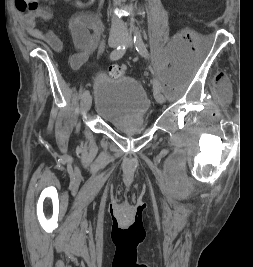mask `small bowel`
Listing matches in <instances>:
<instances>
[{
  "instance_id": "c3829d8e",
  "label": "small bowel",
  "mask_w": 253,
  "mask_h": 267,
  "mask_svg": "<svg viewBox=\"0 0 253 267\" xmlns=\"http://www.w3.org/2000/svg\"><path fill=\"white\" fill-rule=\"evenodd\" d=\"M67 2L71 0H65ZM96 0H74L76 7H85L95 3ZM52 18L49 8L43 7L22 16V25L27 33L44 43L55 52H60L63 43L58 35L51 29L42 30L38 21H48ZM70 29L77 52L70 59L73 68H79L86 59L98 48L104 35V24L99 15L93 12L80 11L69 18Z\"/></svg>"
}]
</instances>
